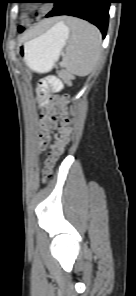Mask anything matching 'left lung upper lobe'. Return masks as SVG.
Segmentation results:
<instances>
[{
    "instance_id": "5c2ea615",
    "label": "left lung upper lobe",
    "mask_w": 136,
    "mask_h": 296,
    "mask_svg": "<svg viewBox=\"0 0 136 296\" xmlns=\"http://www.w3.org/2000/svg\"><path fill=\"white\" fill-rule=\"evenodd\" d=\"M52 0H43L42 2H40V3H47V2H51ZM20 29H23L22 27H19V30Z\"/></svg>"
}]
</instances>
